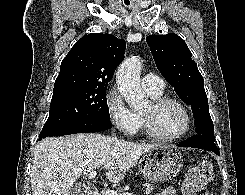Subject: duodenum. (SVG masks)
<instances>
[{"label":"duodenum","instance_id":"410a0bca","mask_svg":"<svg viewBox=\"0 0 245 195\" xmlns=\"http://www.w3.org/2000/svg\"><path fill=\"white\" fill-rule=\"evenodd\" d=\"M88 195H100V192L95 190V191L89 192Z\"/></svg>","mask_w":245,"mask_h":195}]
</instances>
